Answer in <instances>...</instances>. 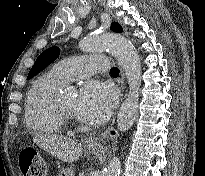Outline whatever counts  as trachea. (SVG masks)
Here are the masks:
<instances>
[{
  "instance_id": "trachea-1",
  "label": "trachea",
  "mask_w": 205,
  "mask_h": 176,
  "mask_svg": "<svg viewBox=\"0 0 205 176\" xmlns=\"http://www.w3.org/2000/svg\"><path fill=\"white\" fill-rule=\"evenodd\" d=\"M110 73L112 75H117V74H119V69L117 67H112L110 70Z\"/></svg>"
}]
</instances>
